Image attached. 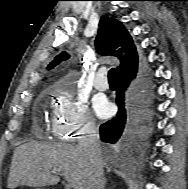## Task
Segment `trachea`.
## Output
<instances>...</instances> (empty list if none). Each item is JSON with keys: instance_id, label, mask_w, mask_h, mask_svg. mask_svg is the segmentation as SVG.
<instances>
[{"instance_id": "obj_1", "label": "trachea", "mask_w": 188, "mask_h": 189, "mask_svg": "<svg viewBox=\"0 0 188 189\" xmlns=\"http://www.w3.org/2000/svg\"><path fill=\"white\" fill-rule=\"evenodd\" d=\"M108 79H109V82H111V83L117 82V73L114 68L110 69V71L108 73Z\"/></svg>"}]
</instances>
